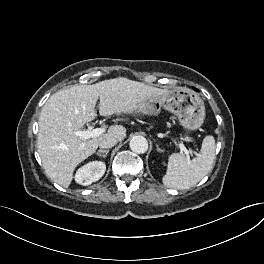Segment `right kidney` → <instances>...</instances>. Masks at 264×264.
I'll use <instances>...</instances> for the list:
<instances>
[{
	"instance_id": "obj_1",
	"label": "right kidney",
	"mask_w": 264,
	"mask_h": 264,
	"mask_svg": "<svg viewBox=\"0 0 264 264\" xmlns=\"http://www.w3.org/2000/svg\"><path fill=\"white\" fill-rule=\"evenodd\" d=\"M106 165L101 161L89 162L76 172L75 181L78 184L88 186L98 181L105 173Z\"/></svg>"
}]
</instances>
